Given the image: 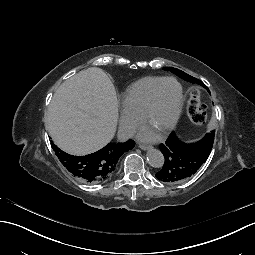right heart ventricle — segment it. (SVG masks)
<instances>
[{
    "label": "right heart ventricle",
    "mask_w": 255,
    "mask_h": 255,
    "mask_svg": "<svg viewBox=\"0 0 255 255\" xmlns=\"http://www.w3.org/2000/svg\"><path fill=\"white\" fill-rule=\"evenodd\" d=\"M163 79L162 77H146L131 84L120 97L122 109L137 119L140 118L152 91Z\"/></svg>",
    "instance_id": "obj_1"
}]
</instances>
